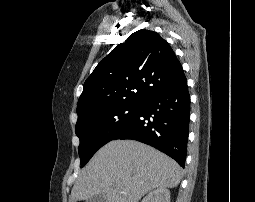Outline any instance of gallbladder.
Instances as JSON below:
<instances>
[{
    "mask_svg": "<svg viewBox=\"0 0 255 202\" xmlns=\"http://www.w3.org/2000/svg\"><path fill=\"white\" fill-rule=\"evenodd\" d=\"M87 202H107L106 197L102 194L91 197Z\"/></svg>",
    "mask_w": 255,
    "mask_h": 202,
    "instance_id": "obj_1",
    "label": "gallbladder"
}]
</instances>
